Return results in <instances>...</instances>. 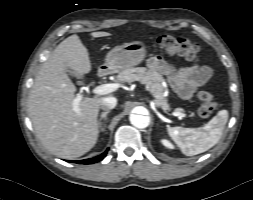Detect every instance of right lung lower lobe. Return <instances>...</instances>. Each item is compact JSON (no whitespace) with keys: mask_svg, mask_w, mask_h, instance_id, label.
Segmentation results:
<instances>
[{"mask_svg":"<svg viewBox=\"0 0 253 200\" xmlns=\"http://www.w3.org/2000/svg\"><path fill=\"white\" fill-rule=\"evenodd\" d=\"M106 154H107V151H105L101 155L96 156L94 158L85 159V160H72L70 162H74V163H78V164H92V163L98 162L101 159H103L106 156Z\"/></svg>","mask_w":253,"mask_h":200,"instance_id":"1","label":"right lung lower lobe"}]
</instances>
